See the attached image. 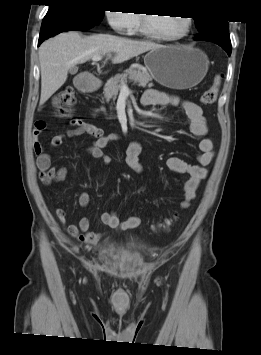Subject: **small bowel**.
Listing matches in <instances>:
<instances>
[{"instance_id": "c3829d8e", "label": "small bowel", "mask_w": 261, "mask_h": 355, "mask_svg": "<svg viewBox=\"0 0 261 355\" xmlns=\"http://www.w3.org/2000/svg\"><path fill=\"white\" fill-rule=\"evenodd\" d=\"M142 102L144 105H165L181 107L190 122V132L198 138L196 154V164H189L182 159L170 156L167 158V166L178 172H184L188 178L183 186V200L181 208H187L190 202L196 197L197 188L207 174V166L212 162L214 157L213 144L206 137L208 132V123L203 115L202 108L195 102L182 100L175 95H171L159 90L148 89L145 91ZM42 123V124H39ZM73 128L65 133L55 135L50 141V147L56 148L63 143L66 137L79 136L87 134L93 137V143L87 148L90 156L100 159L106 166L110 165L112 158L105 154L103 149L118 140L120 136L114 133L105 134L102 129L90 124L82 119H73L71 121ZM46 128L44 121H37L32 131V143L36 156V165L40 172V181L47 186L60 183L67 177L68 171L66 168H55L51 166V156L45 151L39 141L41 132ZM142 151L141 143L138 140H133L129 143L126 150V163L136 173H144V167L139 160ZM91 196L88 192H81L78 202L81 207H87L90 204ZM55 214L62 224L67 222V212L64 208H57ZM104 225L118 231L134 229L141 225L142 219L139 216H131L124 221H120L117 213L114 210L104 212L100 217ZM90 220L87 217H81L77 223L67 226V232L72 237L78 239L87 245H94L101 239V234L90 231Z\"/></svg>"}]
</instances>
